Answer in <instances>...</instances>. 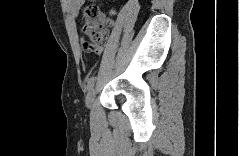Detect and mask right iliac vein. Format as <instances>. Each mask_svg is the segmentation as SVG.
Segmentation results:
<instances>
[{
    "mask_svg": "<svg viewBox=\"0 0 239 156\" xmlns=\"http://www.w3.org/2000/svg\"><path fill=\"white\" fill-rule=\"evenodd\" d=\"M95 92H96L95 87H92L91 90L89 91V93L87 94V97H86V106H87V108L91 107L93 99H94V96H95Z\"/></svg>",
    "mask_w": 239,
    "mask_h": 156,
    "instance_id": "right-iliac-vein-1",
    "label": "right iliac vein"
}]
</instances>
